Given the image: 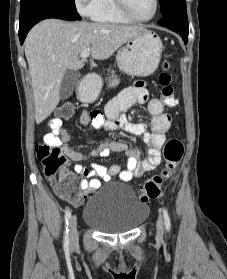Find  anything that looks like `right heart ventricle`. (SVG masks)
Listing matches in <instances>:
<instances>
[{
    "label": "right heart ventricle",
    "instance_id": "1",
    "mask_svg": "<svg viewBox=\"0 0 227 279\" xmlns=\"http://www.w3.org/2000/svg\"><path fill=\"white\" fill-rule=\"evenodd\" d=\"M95 21L116 23V24H129L132 20L122 15L117 9L114 0H101L99 7L92 14Z\"/></svg>",
    "mask_w": 227,
    "mask_h": 279
}]
</instances>
